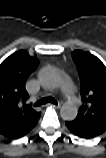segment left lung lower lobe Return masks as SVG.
Here are the masks:
<instances>
[{
  "mask_svg": "<svg viewBox=\"0 0 106 158\" xmlns=\"http://www.w3.org/2000/svg\"><path fill=\"white\" fill-rule=\"evenodd\" d=\"M66 126H67V128H68L72 133H74L75 135H77V136H79V137H82V136H80L78 133H75V132L69 127V125H68L67 122H66Z\"/></svg>",
  "mask_w": 106,
  "mask_h": 158,
  "instance_id": "0a47b994",
  "label": "left lung lower lobe"
}]
</instances>
